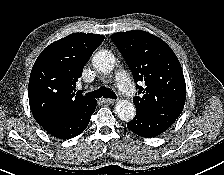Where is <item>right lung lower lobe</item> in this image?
Here are the masks:
<instances>
[{"label":"right lung lower lobe","mask_w":224,"mask_h":175,"mask_svg":"<svg viewBox=\"0 0 224 175\" xmlns=\"http://www.w3.org/2000/svg\"><path fill=\"white\" fill-rule=\"evenodd\" d=\"M95 109L96 101L82 110L64 114L52 122L42 125V127L56 138H73L87 128Z\"/></svg>","instance_id":"98d812e1"}]
</instances>
